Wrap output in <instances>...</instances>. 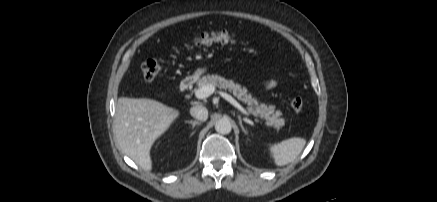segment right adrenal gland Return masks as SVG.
<instances>
[{
    "instance_id": "1",
    "label": "right adrenal gland",
    "mask_w": 437,
    "mask_h": 202,
    "mask_svg": "<svg viewBox=\"0 0 437 202\" xmlns=\"http://www.w3.org/2000/svg\"><path fill=\"white\" fill-rule=\"evenodd\" d=\"M185 123L191 124L192 128L194 129L196 125H200L199 121H185Z\"/></svg>"
}]
</instances>
